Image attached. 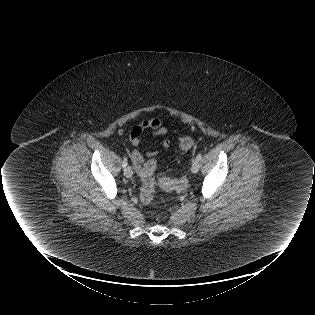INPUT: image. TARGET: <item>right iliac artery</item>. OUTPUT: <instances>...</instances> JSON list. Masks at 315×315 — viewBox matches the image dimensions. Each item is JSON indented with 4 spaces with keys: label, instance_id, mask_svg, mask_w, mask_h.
Here are the masks:
<instances>
[{
    "label": "right iliac artery",
    "instance_id": "right-iliac-artery-1",
    "mask_svg": "<svg viewBox=\"0 0 315 315\" xmlns=\"http://www.w3.org/2000/svg\"><path fill=\"white\" fill-rule=\"evenodd\" d=\"M126 166H127V157H124L122 167L126 168Z\"/></svg>",
    "mask_w": 315,
    "mask_h": 315
}]
</instances>
